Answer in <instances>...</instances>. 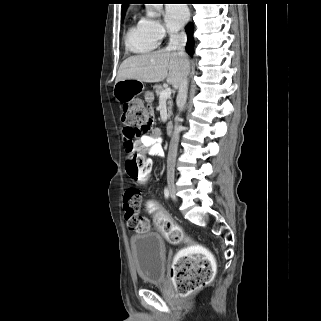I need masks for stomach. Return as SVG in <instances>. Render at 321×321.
Masks as SVG:
<instances>
[{
  "instance_id": "stomach-1",
  "label": "stomach",
  "mask_w": 321,
  "mask_h": 321,
  "mask_svg": "<svg viewBox=\"0 0 321 321\" xmlns=\"http://www.w3.org/2000/svg\"><path fill=\"white\" fill-rule=\"evenodd\" d=\"M143 89L144 85L141 81L125 79L115 83L113 93L118 102L127 103Z\"/></svg>"
}]
</instances>
